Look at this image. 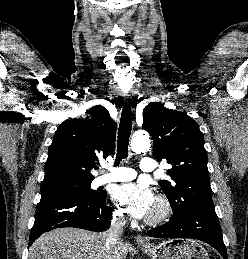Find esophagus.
Here are the masks:
<instances>
[{"label": "esophagus", "instance_id": "34e87169", "mask_svg": "<svg viewBox=\"0 0 248 259\" xmlns=\"http://www.w3.org/2000/svg\"><path fill=\"white\" fill-rule=\"evenodd\" d=\"M124 99L126 102H129L131 100V95L129 93L125 94ZM136 242L138 244H145L146 240L143 237H141L140 235H138V236H136Z\"/></svg>", "mask_w": 248, "mask_h": 259}]
</instances>
